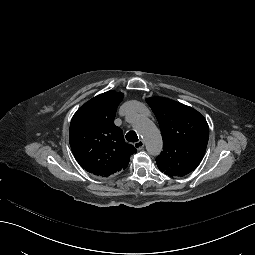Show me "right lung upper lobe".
<instances>
[{"instance_id": "1", "label": "right lung upper lobe", "mask_w": 255, "mask_h": 255, "mask_svg": "<svg viewBox=\"0 0 255 255\" xmlns=\"http://www.w3.org/2000/svg\"><path fill=\"white\" fill-rule=\"evenodd\" d=\"M123 96L121 92L108 91L92 98L79 108L70 123L69 141L77 162L100 177L125 170L130 156L137 152L114 124Z\"/></svg>"}]
</instances>
